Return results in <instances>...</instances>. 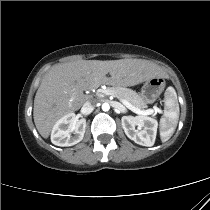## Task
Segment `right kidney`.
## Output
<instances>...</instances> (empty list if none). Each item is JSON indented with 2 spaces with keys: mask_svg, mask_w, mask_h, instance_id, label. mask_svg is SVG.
<instances>
[{
  "mask_svg": "<svg viewBox=\"0 0 210 210\" xmlns=\"http://www.w3.org/2000/svg\"><path fill=\"white\" fill-rule=\"evenodd\" d=\"M85 128V119L78 120L74 113L66 114L53 126L51 142L61 147L75 145L83 139Z\"/></svg>",
  "mask_w": 210,
  "mask_h": 210,
  "instance_id": "right-kidney-1",
  "label": "right kidney"
}]
</instances>
